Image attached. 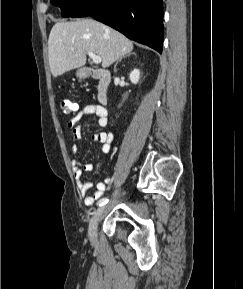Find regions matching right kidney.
<instances>
[{"mask_svg": "<svg viewBox=\"0 0 243 289\" xmlns=\"http://www.w3.org/2000/svg\"><path fill=\"white\" fill-rule=\"evenodd\" d=\"M129 78L133 84H137L140 79V71L138 69H134L131 71Z\"/></svg>", "mask_w": 243, "mask_h": 289, "instance_id": "ca27d5eb", "label": "right kidney"}]
</instances>
